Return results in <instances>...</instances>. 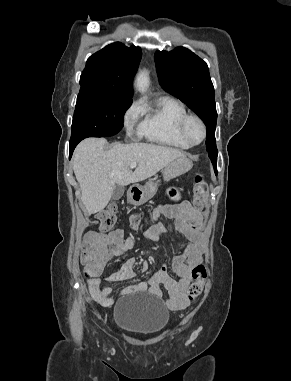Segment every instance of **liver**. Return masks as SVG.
<instances>
[{"mask_svg": "<svg viewBox=\"0 0 291 381\" xmlns=\"http://www.w3.org/2000/svg\"><path fill=\"white\" fill-rule=\"evenodd\" d=\"M106 140L87 138L74 151L73 170L81 200L89 215L103 210L116 185L127 186L148 179L185 153L148 143L115 144L105 150ZM131 163H137L132 172Z\"/></svg>", "mask_w": 291, "mask_h": 381, "instance_id": "1", "label": "liver"}]
</instances>
